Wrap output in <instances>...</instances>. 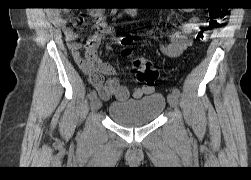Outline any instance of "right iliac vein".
I'll list each match as a JSON object with an SVG mask.
<instances>
[{"mask_svg": "<svg viewBox=\"0 0 251 180\" xmlns=\"http://www.w3.org/2000/svg\"><path fill=\"white\" fill-rule=\"evenodd\" d=\"M102 103L101 101L99 100V98H94L92 101H91V110L95 111V110H98L100 109Z\"/></svg>", "mask_w": 251, "mask_h": 180, "instance_id": "63e3f726", "label": "right iliac vein"}]
</instances>
